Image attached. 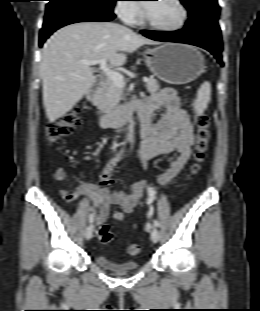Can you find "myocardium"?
Instances as JSON below:
<instances>
[{
	"label": "myocardium",
	"instance_id": "f54148a6",
	"mask_svg": "<svg viewBox=\"0 0 260 311\" xmlns=\"http://www.w3.org/2000/svg\"><path fill=\"white\" fill-rule=\"evenodd\" d=\"M172 1L178 6V8L181 11V18H180L178 23H176L175 25H172V26L156 25L149 20V18L147 16L146 8L143 7V13H142L143 24L146 25L147 27L153 29V30L160 31V32H176V31L183 29L185 27L187 21H188V18H189L188 9L182 0H172Z\"/></svg>",
	"mask_w": 260,
	"mask_h": 311
}]
</instances>
